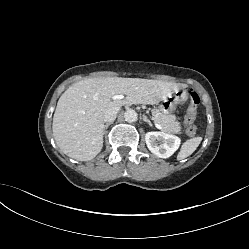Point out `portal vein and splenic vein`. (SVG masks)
Listing matches in <instances>:
<instances>
[{
	"label": "portal vein and splenic vein",
	"instance_id": "portal-vein-and-splenic-vein-1",
	"mask_svg": "<svg viewBox=\"0 0 249 249\" xmlns=\"http://www.w3.org/2000/svg\"><path fill=\"white\" fill-rule=\"evenodd\" d=\"M123 98H124L123 95H115V96H113V100H120V99H123ZM155 126H156V128L162 130V126L160 124L155 123Z\"/></svg>",
	"mask_w": 249,
	"mask_h": 249
}]
</instances>
